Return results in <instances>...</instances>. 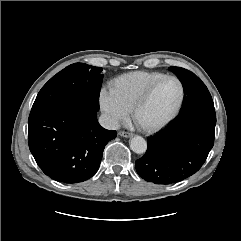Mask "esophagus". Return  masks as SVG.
Masks as SVG:
<instances>
[{
    "label": "esophagus",
    "instance_id": "1",
    "mask_svg": "<svg viewBox=\"0 0 241 241\" xmlns=\"http://www.w3.org/2000/svg\"><path fill=\"white\" fill-rule=\"evenodd\" d=\"M118 134H119L120 136H122V137H125V138H129V137H132V136H133L132 133L126 132V131H120Z\"/></svg>",
    "mask_w": 241,
    "mask_h": 241
}]
</instances>
